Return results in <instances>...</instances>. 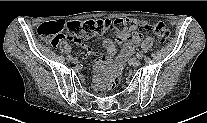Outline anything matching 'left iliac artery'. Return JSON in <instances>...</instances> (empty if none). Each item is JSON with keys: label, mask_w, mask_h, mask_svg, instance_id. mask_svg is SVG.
Here are the masks:
<instances>
[{"label": "left iliac artery", "mask_w": 207, "mask_h": 123, "mask_svg": "<svg viewBox=\"0 0 207 123\" xmlns=\"http://www.w3.org/2000/svg\"><path fill=\"white\" fill-rule=\"evenodd\" d=\"M136 56H137V58L142 59L143 58V53L142 52H138Z\"/></svg>", "instance_id": "44dca946"}]
</instances>
